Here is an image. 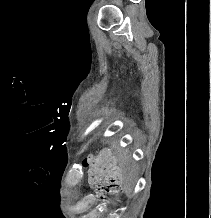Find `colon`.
I'll use <instances>...</instances> for the list:
<instances>
[{"mask_svg": "<svg viewBox=\"0 0 211 218\" xmlns=\"http://www.w3.org/2000/svg\"><path fill=\"white\" fill-rule=\"evenodd\" d=\"M88 168L90 183L104 194H117L122 189L121 170L113 154L99 151L89 155L84 161Z\"/></svg>", "mask_w": 211, "mask_h": 218, "instance_id": "5ec220e1", "label": "colon"}]
</instances>
